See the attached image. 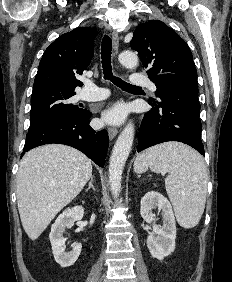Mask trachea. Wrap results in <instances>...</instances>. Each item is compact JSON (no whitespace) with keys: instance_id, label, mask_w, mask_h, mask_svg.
<instances>
[{"instance_id":"1","label":"trachea","mask_w":232,"mask_h":282,"mask_svg":"<svg viewBox=\"0 0 232 282\" xmlns=\"http://www.w3.org/2000/svg\"><path fill=\"white\" fill-rule=\"evenodd\" d=\"M111 50H112V41L108 35H104L102 44H101V63L103 68L104 79L111 80L117 87L122 90H132L138 89L140 87L126 83L122 79L115 77L112 73L111 66Z\"/></svg>"}]
</instances>
